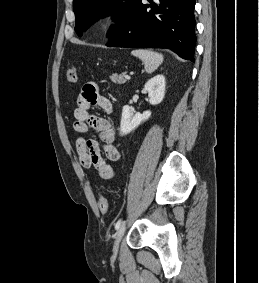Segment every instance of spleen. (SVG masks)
I'll use <instances>...</instances> for the list:
<instances>
[{
  "mask_svg": "<svg viewBox=\"0 0 259 283\" xmlns=\"http://www.w3.org/2000/svg\"><path fill=\"white\" fill-rule=\"evenodd\" d=\"M131 54L143 61L147 73L154 72L163 62L162 54L151 50L137 49L133 50Z\"/></svg>",
  "mask_w": 259,
  "mask_h": 283,
  "instance_id": "1",
  "label": "spleen"
}]
</instances>
